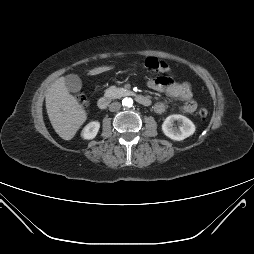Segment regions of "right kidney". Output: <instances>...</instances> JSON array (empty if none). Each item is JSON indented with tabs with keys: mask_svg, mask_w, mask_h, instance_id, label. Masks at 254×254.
Instances as JSON below:
<instances>
[{
	"mask_svg": "<svg viewBox=\"0 0 254 254\" xmlns=\"http://www.w3.org/2000/svg\"><path fill=\"white\" fill-rule=\"evenodd\" d=\"M99 128H100V123L98 121L90 122L84 127L82 131V137L87 140L95 138L99 131Z\"/></svg>",
	"mask_w": 254,
	"mask_h": 254,
	"instance_id": "1",
	"label": "right kidney"
}]
</instances>
